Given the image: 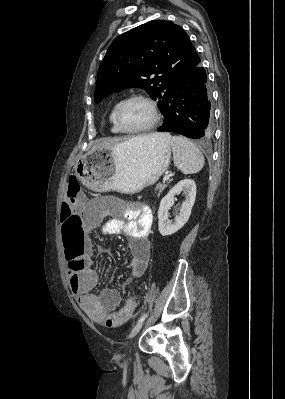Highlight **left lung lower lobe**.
Segmentation results:
<instances>
[{
    "mask_svg": "<svg viewBox=\"0 0 285 399\" xmlns=\"http://www.w3.org/2000/svg\"><path fill=\"white\" fill-rule=\"evenodd\" d=\"M164 116L159 132H174L201 140L212 136L211 98L200 60L176 80Z\"/></svg>",
    "mask_w": 285,
    "mask_h": 399,
    "instance_id": "left-lung-lower-lobe-1",
    "label": "left lung lower lobe"
}]
</instances>
